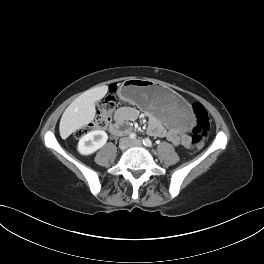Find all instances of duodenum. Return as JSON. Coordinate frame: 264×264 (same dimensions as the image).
Returning a JSON list of instances; mask_svg holds the SVG:
<instances>
[{
  "instance_id": "1",
  "label": "duodenum",
  "mask_w": 264,
  "mask_h": 264,
  "mask_svg": "<svg viewBox=\"0 0 264 264\" xmlns=\"http://www.w3.org/2000/svg\"><path fill=\"white\" fill-rule=\"evenodd\" d=\"M110 132L114 135H120L125 133L126 131L122 129L119 124H115L110 127Z\"/></svg>"
}]
</instances>
